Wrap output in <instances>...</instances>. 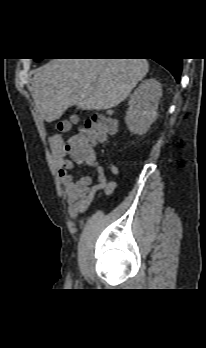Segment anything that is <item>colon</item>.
Wrapping results in <instances>:
<instances>
[{"mask_svg": "<svg viewBox=\"0 0 206 348\" xmlns=\"http://www.w3.org/2000/svg\"><path fill=\"white\" fill-rule=\"evenodd\" d=\"M71 124L70 121H63L59 124V130L66 131ZM115 129L116 123L108 112L95 115L80 126L76 134L62 142L60 148L73 160L84 161L90 158L92 148L99 143L106 142Z\"/></svg>", "mask_w": 206, "mask_h": 348, "instance_id": "colon-1", "label": "colon"}]
</instances>
